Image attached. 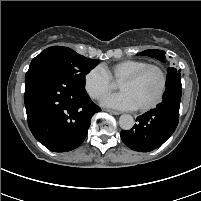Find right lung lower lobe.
Returning <instances> with one entry per match:
<instances>
[{
  "mask_svg": "<svg viewBox=\"0 0 201 201\" xmlns=\"http://www.w3.org/2000/svg\"><path fill=\"white\" fill-rule=\"evenodd\" d=\"M24 102L32 134L54 152L77 148L101 111L72 75L45 64L27 71Z\"/></svg>",
  "mask_w": 201,
  "mask_h": 201,
  "instance_id": "obj_1",
  "label": "right lung lower lobe"
}]
</instances>
